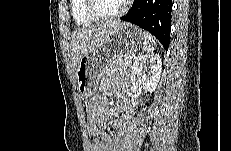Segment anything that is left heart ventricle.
I'll list each match as a JSON object with an SVG mask.
<instances>
[{
    "label": "left heart ventricle",
    "instance_id": "b2bd125f",
    "mask_svg": "<svg viewBox=\"0 0 231 151\" xmlns=\"http://www.w3.org/2000/svg\"><path fill=\"white\" fill-rule=\"evenodd\" d=\"M124 1L122 0H94L95 11L100 16L112 15L117 13Z\"/></svg>",
    "mask_w": 231,
    "mask_h": 151
}]
</instances>
